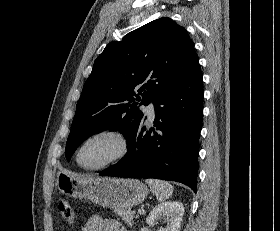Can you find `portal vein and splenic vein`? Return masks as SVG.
I'll use <instances>...</instances> for the list:
<instances>
[{"label": "portal vein and splenic vein", "mask_w": 280, "mask_h": 231, "mask_svg": "<svg viewBox=\"0 0 280 231\" xmlns=\"http://www.w3.org/2000/svg\"><path fill=\"white\" fill-rule=\"evenodd\" d=\"M139 213H146L145 209H139Z\"/></svg>", "instance_id": "portal-vein-and-splenic-vein-1"}]
</instances>
